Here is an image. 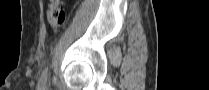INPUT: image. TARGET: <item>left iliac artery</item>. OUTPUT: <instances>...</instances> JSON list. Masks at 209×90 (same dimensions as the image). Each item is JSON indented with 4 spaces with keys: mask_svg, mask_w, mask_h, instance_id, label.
<instances>
[{
    "mask_svg": "<svg viewBox=\"0 0 209 90\" xmlns=\"http://www.w3.org/2000/svg\"><path fill=\"white\" fill-rule=\"evenodd\" d=\"M47 74H48V67H46L41 74L40 80H39V85L38 86H45L47 82Z\"/></svg>",
    "mask_w": 209,
    "mask_h": 90,
    "instance_id": "44dca946",
    "label": "left iliac artery"
}]
</instances>
